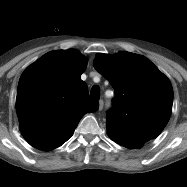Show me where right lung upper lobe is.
<instances>
[{
    "mask_svg": "<svg viewBox=\"0 0 187 187\" xmlns=\"http://www.w3.org/2000/svg\"><path fill=\"white\" fill-rule=\"evenodd\" d=\"M87 59L79 51H51L28 66L20 77L16 110L26 141L40 150H53L73 134L80 119L99 104L88 100L81 74Z\"/></svg>",
    "mask_w": 187,
    "mask_h": 187,
    "instance_id": "cb5924a9",
    "label": "right lung upper lobe"
}]
</instances>
